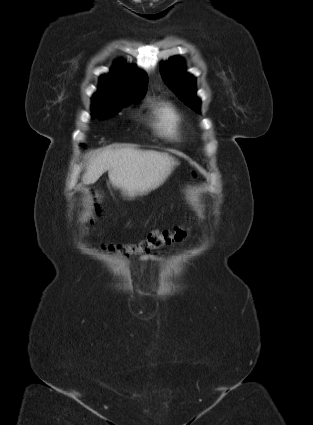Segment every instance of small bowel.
<instances>
[{"label": "small bowel", "mask_w": 313, "mask_h": 425, "mask_svg": "<svg viewBox=\"0 0 313 425\" xmlns=\"http://www.w3.org/2000/svg\"><path fill=\"white\" fill-rule=\"evenodd\" d=\"M140 261L141 262H146V261H161L160 257H157L155 255H151V254H144L140 257Z\"/></svg>", "instance_id": "obj_1"}]
</instances>
